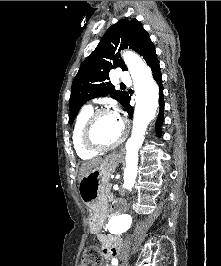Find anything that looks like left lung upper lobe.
Wrapping results in <instances>:
<instances>
[{
    "instance_id": "1",
    "label": "left lung upper lobe",
    "mask_w": 221,
    "mask_h": 266,
    "mask_svg": "<svg viewBox=\"0 0 221 266\" xmlns=\"http://www.w3.org/2000/svg\"><path fill=\"white\" fill-rule=\"evenodd\" d=\"M126 48L139 53L150 67L158 61L149 34L135 18L120 20L112 25L96 49L83 61L73 80L69 102L70 123L74 121L81 106L95 97L109 94L124 106L128 94L115 90L109 81V72L117 67L127 70L119 53Z\"/></svg>"
}]
</instances>
